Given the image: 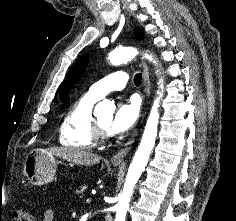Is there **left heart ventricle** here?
I'll return each mask as SVG.
<instances>
[{
  "instance_id": "left-heart-ventricle-1",
  "label": "left heart ventricle",
  "mask_w": 236,
  "mask_h": 221,
  "mask_svg": "<svg viewBox=\"0 0 236 221\" xmlns=\"http://www.w3.org/2000/svg\"><path fill=\"white\" fill-rule=\"evenodd\" d=\"M98 122L100 123V125L107 130L108 124L111 120V116L110 115H103V116H99L98 118Z\"/></svg>"
}]
</instances>
